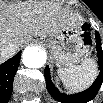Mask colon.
Instances as JSON below:
<instances>
[{
	"label": "colon",
	"mask_w": 103,
	"mask_h": 103,
	"mask_svg": "<svg viewBox=\"0 0 103 103\" xmlns=\"http://www.w3.org/2000/svg\"><path fill=\"white\" fill-rule=\"evenodd\" d=\"M82 29L84 31V34H83V36H84V43L87 46H89L92 43V39H91L90 31H89L90 30V25L85 23V24H83Z\"/></svg>",
	"instance_id": "colon-1"
}]
</instances>
